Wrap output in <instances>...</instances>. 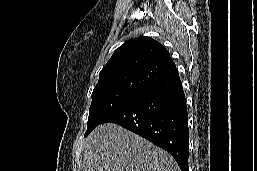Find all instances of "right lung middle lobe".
<instances>
[{
	"mask_svg": "<svg viewBox=\"0 0 257 171\" xmlns=\"http://www.w3.org/2000/svg\"><path fill=\"white\" fill-rule=\"evenodd\" d=\"M146 89L147 87L143 85H109L94 88L87 130L84 136L86 137L96 126L102 124L109 115Z\"/></svg>",
	"mask_w": 257,
	"mask_h": 171,
	"instance_id": "right-lung-middle-lobe-1",
	"label": "right lung middle lobe"
}]
</instances>
